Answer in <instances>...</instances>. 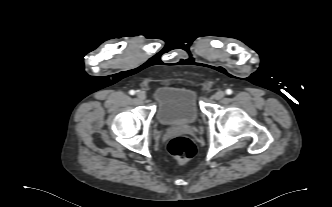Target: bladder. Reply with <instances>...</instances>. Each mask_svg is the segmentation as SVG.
Instances as JSON below:
<instances>
[{"label": "bladder", "mask_w": 332, "mask_h": 207, "mask_svg": "<svg viewBox=\"0 0 332 207\" xmlns=\"http://www.w3.org/2000/svg\"><path fill=\"white\" fill-rule=\"evenodd\" d=\"M154 99L156 120L161 125L192 124L200 117L198 95L191 88L159 87Z\"/></svg>", "instance_id": "obj_1"}]
</instances>
